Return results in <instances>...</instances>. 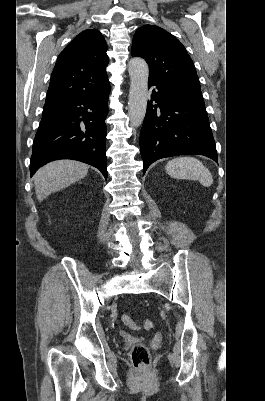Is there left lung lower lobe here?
<instances>
[{"instance_id": "1", "label": "left lung lower lobe", "mask_w": 265, "mask_h": 401, "mask_svg": "<svg viewBox=\"0 0 265 401\" xmlns=\"http://www.w3.org/2000/svg\"><path fill=\"white\" fill-rule=\"evenodd\" d=\"M156 86L140 134L143 174L158 159L204 155L218 162L215 141L201 91Z\"/></svg>"}]
</instances>
